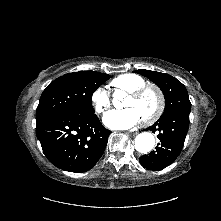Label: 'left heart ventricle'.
Returning a JSON list of instances; mask_svg holds the SVG:
<instances>
[{
  "label": "left heart ventricle",
  "instance_id": "1",
  "mask_svg": "<svg viewBox=\"0 0 221 221\" xmlns=\"http://www.w3.org/2000/svg\"><path fill=\"white\" fill-rule=\"evenodd\" d=\"M158 99L153 91L146 92L142 97L135 99L128 96L124 102L125 108H133L141 119L150 116L157 108Z\"/></svg>",
  "mask_w": 221,
  "mask_h": 221
}]
</instances>
